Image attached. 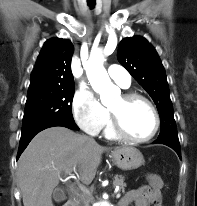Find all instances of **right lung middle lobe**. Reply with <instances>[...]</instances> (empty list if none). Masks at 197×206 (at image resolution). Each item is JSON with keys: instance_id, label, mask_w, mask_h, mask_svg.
Here are the masks:
<instances>
[{"instance_id": "obj_1", "label": "right lung middle lobe", "mask_w": 197, "mask_h": 206, "mask_svg": "<svg viewBox=\"0 0 197 206\" xmlns=\"http://www.w3.org/2000/svg\"><path fill=\"white\" fill-rule=\"evenodd\" d=\"M74 86L28 89L22 131L48 121L74 122Z\"/></svg>"}]
</instances>
